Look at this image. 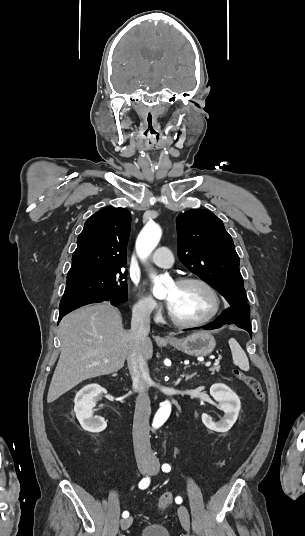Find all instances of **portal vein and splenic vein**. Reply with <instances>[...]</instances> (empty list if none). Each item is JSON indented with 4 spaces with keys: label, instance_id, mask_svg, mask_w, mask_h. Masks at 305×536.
Instances as JSON below:
<instances>
[{
    "label": "portal vein and splenic vein",
    "instance_id": "portal-vein-and-splenic-vein-1",
    "mask_svg": "<svg viewBox=\"0 0 305 536\" xmlns=\"http://www.w3.org/2000/svg\"><path fill=\"white\" fill-rule=\"evenodd\" d=\"M107 362V360H106ZM205 366H211V362H206Z\"/></svg>",
    "mask_w": 305,
    "mask_h": 536
}]
</instances>
